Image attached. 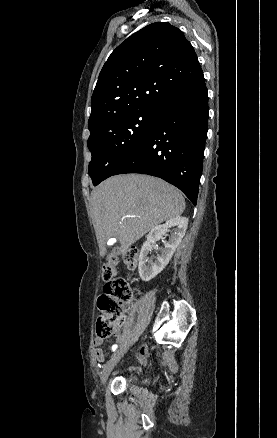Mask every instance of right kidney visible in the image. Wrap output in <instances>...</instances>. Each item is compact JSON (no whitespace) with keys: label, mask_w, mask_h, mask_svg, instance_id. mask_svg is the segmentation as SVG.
<instances>
[{"label":"right kidney","mask_w":277,"mask_h":438,"mask_svg":"<svg viewBox=\"0 0 277 438\" xmlns=\"http://www.w3.org/2000/svg\"><path fill=\"white\" fill-rule=\"evenodd\" d=\"M188 218L184 216H175L167 220L166 224L162 226H155L148 234L147 242H144L138 264V272L143 282H150L157 274H160L164 270L165 266L169 264L176 248H178L182 238H184L188 226ZM169 228H173L171 236H169L168 242L164 240V248L160 250V254H157L156 260L148 258L153 246L157 240H160L162 236H168Z\"/></svg>","instance_id":"obj_1"}]
</instances>
